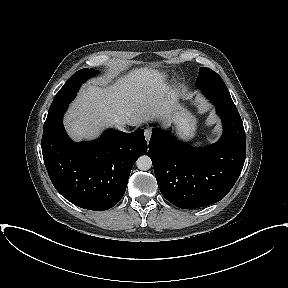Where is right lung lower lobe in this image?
Wrapping results in <instances>:
<instances>
[{"label": "right lung lower lobe", "mask_w": 288, "mask_h": 288, "mask_svg": "<svg viewBox=\"0 0 288 288\" xmlns=\"http://www.w3.org/2000/svg\"><path fill=\"white\" fill-rule=\"evenodd\" d=\"M67 105L48 113L42 154L55 189L68 201L88 210H107L123 197L136 159L147 153L144 130H107L92 142L74 143L62 117Z\"/></svg>", "instance_id": "right-lung-lower-lobe-1"}]
</instances>
